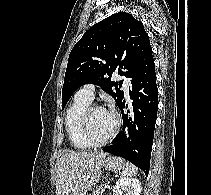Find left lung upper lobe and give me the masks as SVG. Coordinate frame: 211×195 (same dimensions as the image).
Listing matches in <instances>:
<instances>
[{
  "instance_id": "5c2ea615",
  "label": "left lung upper lobe",
  "mask_w": 211,
  "mask_h": 195,
  "mask_svg": "<svg viewBox=\"0 0 211 195\" xmlns=\"http://www.w3.org/2000/svg\"><path fill=\"white\" fill-rule=\"evenodd\" d=\"M153 59L149 36L142 22L118 12L93 25L73 47L62 88V109L71 95L84 84L99 85L117 105L124 93L111 81L113 73L133 77ZM115 87V89H113Z\"/></svg>"
}]
</instances>
